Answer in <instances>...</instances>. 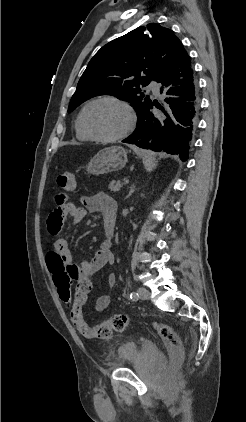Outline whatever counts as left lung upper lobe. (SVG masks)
Listing matches in <instances>:
<instances>
[{"instance_id":"1","label":"left lung upper lobe","mask_w":246,"mask_h":422,"mask_svg":"<svg viewBox=\"0 0 246 422\" xmlns=\"http://www.w3.org/2000/svg\"><path fill=\"white\" fill-rule=\"evenodd\" d=\"M182 46L171 30L155 23L112 40L90 60L68 112L94 96L112 95L131 103L139 118L152 102L141 88L161 80Z\"/></svg>"}]
</instances>
